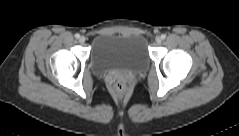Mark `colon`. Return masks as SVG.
<instances>
[{"label":"colon","mask_w":239,"mask_h":136,"mask_svg":"<svg viewBox=\"0 0 239 136\" xmlns=\"http://www.w3.org/2000/svg\"><path fill=\"white\" fill-rule=\"evenodd\" d=\"M112 90L116 94H125L127 91V83L124 79L117 78L112 83Z\"/></svg>","instance_id":"obj_1"}]
</instances>
